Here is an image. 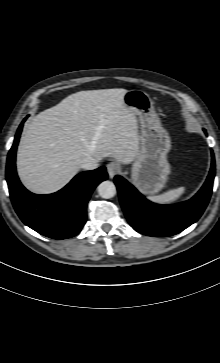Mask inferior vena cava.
<instances>
[{
    "label": "inferior vena cava",
    "instance_id": "obj_1",
    "mask_svg": "<svg viewBox=\"0 0 220 363\" xmlns=\"http://www.w3.org/2000/svg\"><path fill=\"white\" fill-rule=\"evenodd\" d=\"M85 170H94L98 167V162L95 160H88L81 165Z\"/></svg>",
    "mask_w": 220,
    "mask_h": 363
}]
</instances>
